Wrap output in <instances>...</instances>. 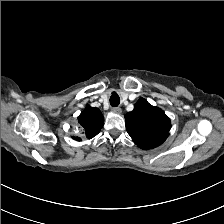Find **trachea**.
<instances>
[{
  "label": "trachea",
  "instance_id": "obj_1",
  "mask_svg": "<svg viewBox=\"0 0 224 224\" xmlns=\"http://www.w3.org/2000/svg\"><path fill=\"white\" fill-rule=\"evenodd\" d=\"M119 103H120L119 96L115 92H113L111 97H110V105L112 107H117L119 105Z\"/></svg>",
  "mask_w": 224,
  "mask_h": 224
}]
</instances>
